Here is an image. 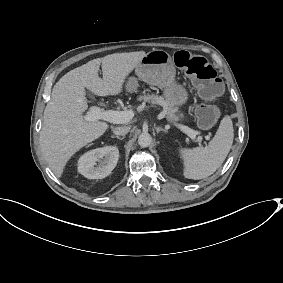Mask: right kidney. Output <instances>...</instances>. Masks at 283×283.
<instances>
[{
	"label": "right kidney",
	"instance_id": "right-kidney-1",
	"mask_svg": "<svg viewBox=\"0 0 283 283\" xmlns=\"http://www.w3.org/2000/svg\"><path fill=\"white\" fill-rule=\"evenodd\" d=\"M118 159L119 150L117 147L97 148L88 151L79 158L78 172L88 179H102L112 172Z\"/></svg>",
	"mask_w": 283,
	"mask_h": 283
}]
</instances>
